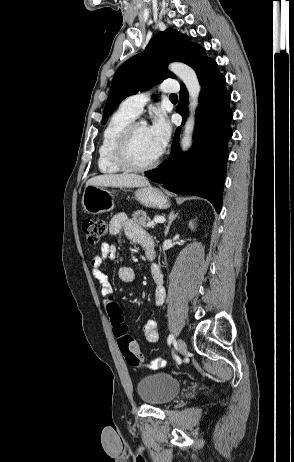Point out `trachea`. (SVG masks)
<instances>
[{
  "mask_svg": "<svg viewBox=\"0 0 294 462\" xmlns=\"http://www.w3.org/2000/svg\"><path fill=\"white\" fill-rule=\"evenodd\" d=\"M170 98H171V99H177V95L171 94V95H170Z\"/></svg>",
  "mask_w": 294,
  "mask_h": 462,
  "instance_id": "3493384b",
  "label": "trachea"
}]
</instances>
